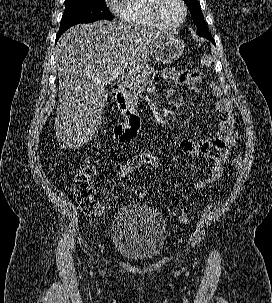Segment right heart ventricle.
Wrapping results in <instances>:
<instances>
[{"instance_id":"obj_1","label":"right heart ventricle","mask_w":272,"mask_h":303,"mask_svg":"<svg viewBox=\"0 0 272 303\" xmlns=\"http://www.w3.org/2000/svg\"><path fill=\"white\" fill-rule=\"evenodd\" d=\"M152 0H123L120 7L122 20L132 26L159 29L151 12Z\"/></svg>"}]
</instances>
